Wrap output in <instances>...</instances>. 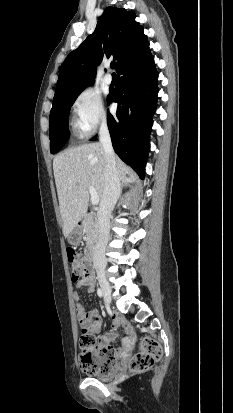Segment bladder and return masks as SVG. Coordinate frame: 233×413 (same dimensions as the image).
Masks as SVG:
<instances>
[{
    "label": "bladder",
    "mask_w": 233,
    "mask_h": 413,
    "mask_svg": "<svg viewBox=\"0 0 233 413\" xmlns=\"http://www.w3.org/2000/svg\"><path fill=\"white\" fill-rule=\"evenodd\" d=\"M112 372L107 373V374H92V378L98 379V380H108L112 376Z\"/></svg>",
    "instance_id": "bladder-1"
}]
</instances>
